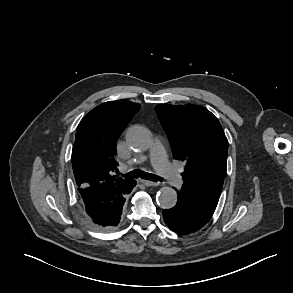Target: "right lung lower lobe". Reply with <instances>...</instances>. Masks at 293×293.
Here are the masks:
<instances>
[{
	"instance_id": "1",
	"label": "right lung lower lobe",
	"mask_w": 293,
	"mask_h": 293,
	"mask_svg": "<svg viewBox=\"0 0 293 293\" xmlns=\"http://www.w3.org/2000/svg\"><path fill=\"white\" fill-rule=\"evenodd\" d=\"M135 185V181L129 180L120 186L79 187L78 191L86 217L100 228H115L121 220L125 197Z\"/></svg>"
}]
</instances>
